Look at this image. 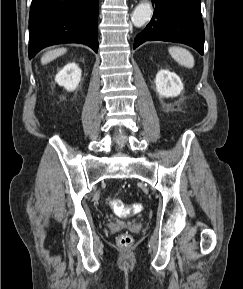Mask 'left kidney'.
I'll list each match as a JSON object with an SVG mask.
<instances>
[{"mask_svg": "<svg viewBox=\"0 0 243 289\" xmlns=\"http://www.w3.org/2000/svg\"><path fill=\"white\" fill-rule=\"evenodd\" d=\"M155 84L160 97H175L183 90L180 78L169 70H160L156 75Z\"/></svg>", "mask_w": 243, "mask_h": 289, "instance_id": "obj_1", "label": "left kidney"}]
</instances>
